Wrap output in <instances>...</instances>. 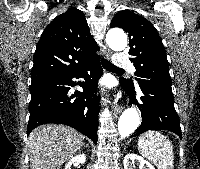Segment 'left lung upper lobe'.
<instances>
[{
	"label": "left lung upper lobe",
	"instance_id": "obj_1",
	"mask_svg": "<svg viewBox=\"0 0 200 169\" xmlns=\"http://www.w3.org/2000/svg\"><path fill=\"white\" fill-rule=\"evenodd\" d=\"M110 27H120L128 32L131 62L136 68V80L171 86L168 61L164 46L154 26L144 17L122 10L113 18ZM134 86L132 79H120Z\"/></svg>",
	"mask_w": 200,
	"mask_h": 169
}]
</instances>
